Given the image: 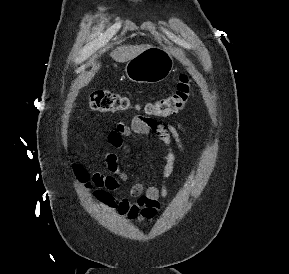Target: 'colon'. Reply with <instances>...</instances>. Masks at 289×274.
Segmentation results:
<instances>
[{"instance_id":"1","label":"colon","mask_w":289,"mask_h":274,"mask_svg":"<svg viewBox=\"0 0 289 274\" xmlns=\"http://www.w3.org/2000/svg\"><path fill=\"white\" fill-rule=\"evenodd\" d=\"M191 95V82L187 74L183 73L179 77L175 91L162 99L148 103L145 106V111L148 115L154 117H169L181 111L188 102ZM89 106L92 110L100 112H116L129 110L132 107L130 100L113 91L98 89L93 91L89 96ZM76 172L79 178L87 181V172L77 167ZM100 196L103 199L109 200V197L104 193Z\"/></svg>"}]
</instances>
